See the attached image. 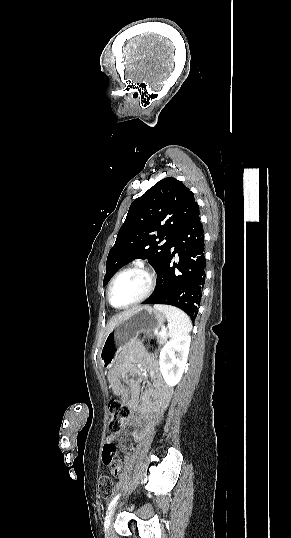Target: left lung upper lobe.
Here are the masks:
<instances>
[{"mask_svg":"<svg viewBox=\"0 0 291 538\" xmlns=\"http://www.w3.org/2000/svg\"><path fill=\"white\" fill-rule=\"evenodd\" d=\"M198 209L194 194L173 177L160 180L134 200L109 251L103 286L136 258L147 259L157 271L176 232ZM163 240L167 241L161 244Z\"/></svg>","mask_w":291,"mask_h":538,"instance_id":"left-lung-upper-lobe-1","label":"left lung upper lobe"}]
</instances>
